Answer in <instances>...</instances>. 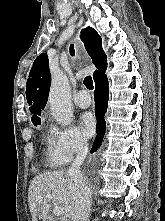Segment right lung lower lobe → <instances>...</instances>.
Listing matches in <instances>:
<instances>
[{
  "label": "right lung lower lobe",
  "mask_w": 165,
  "mask_h": 221,
  "mask_svg": "<svg viewBox=\"0 0 165 221\" xmlns=\"http://www.w3.org/2000/svg\"><path fill=\"white\" fill-rule=\"evenodd\" d=\"M109 98V86L106 75L102 77L98 82L95 83V114L97 117V128L98 133L96 139L93 143L91 153L95 152L101 145L103 136L106 129V122L104 120V115L107 111V103Z\"/></svg>",
  "instance_id": "1"
}]
</instances>
